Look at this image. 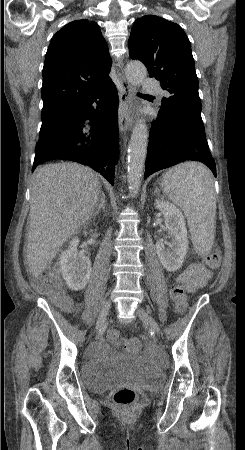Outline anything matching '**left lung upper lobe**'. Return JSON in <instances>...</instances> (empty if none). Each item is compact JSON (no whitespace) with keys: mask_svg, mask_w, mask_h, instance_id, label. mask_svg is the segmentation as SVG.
<instances>
[{"mask_svg":"<svg viewBox=\"0 0 245 450\" xmlns=\"http://www.w3.org/2000/svg\"><path fill=\"white\" fill-rule=\"evenodd\" d=\"M128 48L130 57L142 61L150 77L170 93L159 112L184 119L206 135L191 44L183 29L158 16H144L135 21Z\"/></svg>","mask_w":245,"mask_h":450,"instance_id":"left-lung-upper-lobe-1","label":"left lung upper lobe"}]
</instances>
